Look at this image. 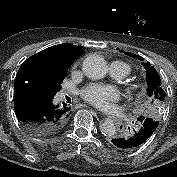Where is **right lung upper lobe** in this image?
I'll list each match as a JSON object with an SVG mask.
<instances>
[{
	"mask_svg": "<svg viewBox=\"0 0 177 177\" xmlns=\"http://www.w3.org/2000/svg\"><path fill=\"white\" fill-rule=\"evenodd\" d=\"M84 53V47L63 43L48 47L25 60L15 78V87L30 80L59 82L66 77L74 59Z\"/></svg>",
	"mask_w": 177,
	"mask_h": 177,
	"instance_id": "obj_1",
	"label": "right lung upper lobe"
}]
</instances>
